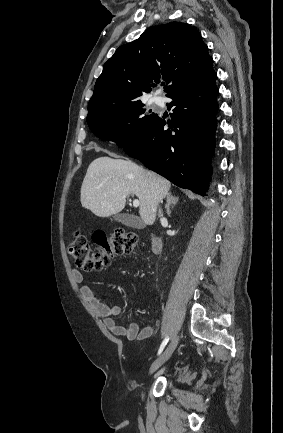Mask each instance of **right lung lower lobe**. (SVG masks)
<instances>
[{"instance_id": "obj_1", "label": "right lung lower lobe", "mask_w": 283, "mask_h": 433, "mask_svg": "<svg viewBox=\"0 0 283 433\" xmlns=\"http://www.w3.org/2000/svg\"><path fill=\"white\" fill-rule=\"evenodd\" d=\"M216 77L168 95L173 99L168 107L174 106L169 128L164 129L167 123L157 115L143 136L124 150L179 187L202 195L215 148Z\"/></svg>"}]
</instances>
